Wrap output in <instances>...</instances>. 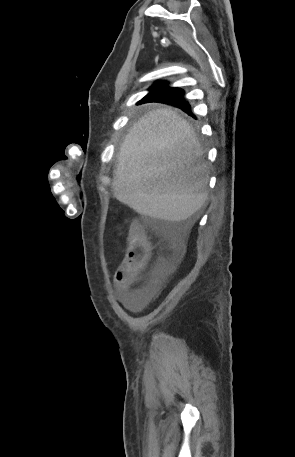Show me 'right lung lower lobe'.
Masks as SVG:
<instances>
[{"label": "right lung lower lobe", "mask_w": 295, "mask_h": 457, "mask_svg": "<svg viewBox=\"0 0 295 457\" xmlns=\"http://www.w3.org/2000/svg\"><path fill=\"white\" fill-rule=\"evenodd\" d=\"M163 86H164V84L153 86L150 90V93L147 96H145L141 100L140 103L159 102V101H156L159 91L164 90V89H172V90L178 91L179 96L168 98V99L164 100L163 103H168V104L174 105L176 107L181 108L188 114H191L189 104L183 100V94H184L183 90H181L179 88H171V87H163Z\"/></svg>", "instance_id": "1"}]
</instances>
